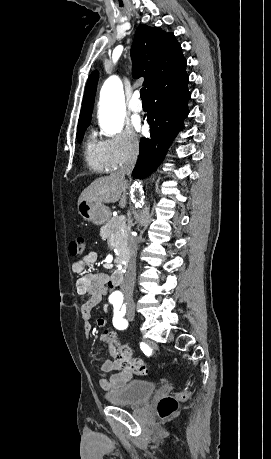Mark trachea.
Wrapping results in <instances>:
<instances>
[{"label": "trachea", "instance_id": "trachea-1", "mask_svg": "<svg viewBox=\"0 0 271 459\" xmlns=\"http://www.w3.org/2000/svg\"><path fill=\"white\" fill-rule=\"evenodd\" d=\"M140 95H141V99H142V102H148V94H147V90L146 88H141L140 90Z\"/></svg>", "mask_w": 271, "mask_h": 459}]
</instances>
